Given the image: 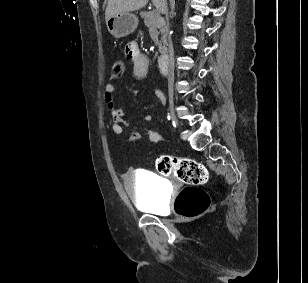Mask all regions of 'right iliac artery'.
Listing matches in <instances>:
<instances>
[{
	"mask_svg": "<svg viewBox=\"0 0 308 283\" xmlns=\"http://www.w3.org/2000/svg\"><path fill=\"white\" fill-rule=\"evenodd\" d=\"M168 120H169V121L172 120L171 115H168ZM173 124H174V122H173ZM174 125H175V124H174Z\"/></svg>",
	"mask_w": 308,
	"mask_h": 283,
	"instance_id": "82829eb1",
	"label": "right iliac artery"
}]
</instances>
